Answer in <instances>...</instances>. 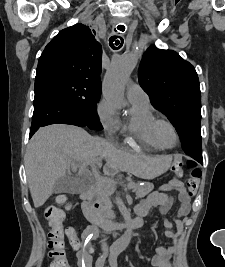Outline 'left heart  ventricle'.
Masks as SVG:
<instances>
[{"label": "left heart ventricle", "instance_id": "obj_1", "mask_svg": "<svg viewBox=\"0 0 225 267\" xmlns=\"http://www.w3.org/2000/svg\"><path fill=\"white\" fill-rule=\"evenodd\" d=\"M160 136L164 144L173 145L176 141L175 134L170 126L164 125L160 129Z\"/></svg>", "mask_w": 225, "mask_h": 267}]
</instances>
